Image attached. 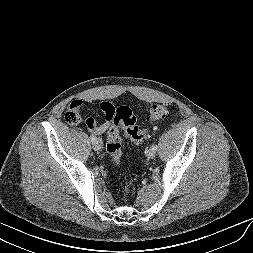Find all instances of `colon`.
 I'll return each mask as SVG.
<instances>
[{"label": "colon", "mask_w": 253, "mask_h": 253, "mask_svg": "<svg viewBox=\"0 0 253 253\" xmlns=\"http://www.w3.org/2000/svg\"><path fill=\"white\" fill-rule=\"evenodd\" d=\"M167 114V108L162 104H154L150 108L149 120L154 123ZM65 119L71 125L85 123L92 126L94 119L85 117L82 105L79 101L72 102L66 109ZM122 128L125 134L135 143H141L147 139L150 133L148 127H141L136 124V119L127 106L113 108L112 125L108 131L106 151L115 164H119L122 156L121 137L119 129ZM124 195L129 194L128 185L123 186Z\"/></svg>", "instance_id": "colon-1"}]
</instances>
